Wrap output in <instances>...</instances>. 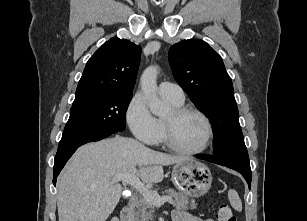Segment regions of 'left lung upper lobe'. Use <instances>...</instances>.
<instances>
[{
  "label": "left lung upper lobe",
  "mask_w": 307,
  "mask_h": 221,
  "mask_svg": "<svg viewBox=\"0 0 307 221\" xmlns=\"http://www.w3.org/2000/svg\"><path fill=\"white\" fill-rule=\"evenodd\" d=\"M169 63L177 83L214 126L215 156L249 162L232 81L220 55L203 40H183L169 49Z\"/></svg>",
  "instance_id": "obj_1"
}]
</instances>
